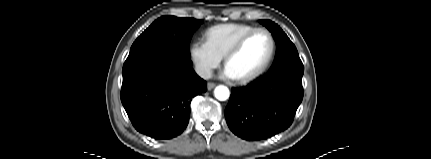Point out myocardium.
Masks as SVG:
<instances>
[{
    "mask_svg": "<svg viewBox=\"0 0 431 159\" xmlns=\"http://www.w3.org/2000/svg\"><path fill=\"white\" fill-rule=\"evenodd\" d=\"M257 33H265L268 35V37L270 38L271 41V50L269 53V56L267 58V60L265 61V63L254 73L244 76V77H240V78H235L237 82L241 83V84H246V83H250L256 79H258L259 77H261L263 74L266 73V71L270 68L274 58H275V54H276V49H277V45H276V40L275 37L273 36V34L265 29V28H255L252 31H249L248 33L244 34L232 47L231 49L226 53V55L224 56V63L225 66L227 67L229 61L235 57L245 46L246 42L255 34Z\"/></svg>",
    "mask_w": 431,
    "mask_h": 159,
    "instance_id": "f54148a6",
    "label": "myocardium"
}]
</instances>
